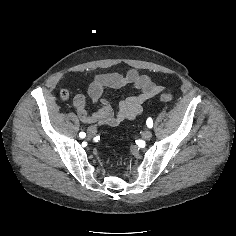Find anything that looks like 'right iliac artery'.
<instances>
[{
    "label": "right iliac artery",
    "instance_id": "1",
    "mask_svg": "<svg viewBox=\"0 0 236 236\" xmlns=\"http://www.w3.org/2000/svg\"><path fill=\"white\" fill-rule=\"evenodd\" d=\"M80 138H84L86 136L85 132H80L79 133Z\"/></svg>",
    "mask_w": 236,
    "mask_h": 236
}]
</instances>
